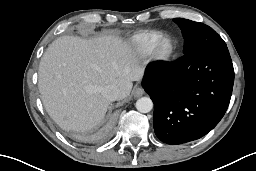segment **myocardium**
Segmentation results:
<instances>
[{
    "label": "myocardium",
    "mask_w": 256,
    "mask_h": 171,
    "mask_svg": "<svg viewBox=\"0 0 256 171\" xmlns=\"http://www.w3.org/2000/svg\"><path fill=\"white\" fill-rule=\"evenodd\" d=\"M169 43V48L164 50V45ZM176 51L175 41L171 36L163 35L153 46L151 57L154 62L165 63L172 59Z\"/></svg>",
    "instance_id": "1"
}]
</instances>
